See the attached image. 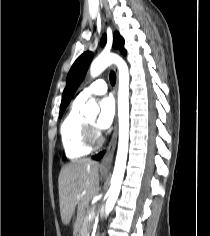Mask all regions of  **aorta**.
I'll use <instances>...</instances> for the list:
<instances>
[{
    "mask_svg": "<svg viewBox=\"0 0 210 236\" xmlns=\"http://www.w3.org/2000/svg\"><path fill=\"white\" fill-rule=\"evenodd\" d=\"M116 64L119 71V90H118V117H119V142L117 156L111 178L110 195L105 205V215L108 216L112 211L118 195L126 168L129 141V71L125 61L113 53H101L90 65L92 77L100 75L109 65ZM99 112L94 99H90L81 113L85 116H96Z\"/></svg>",
    "mask_w": 210,
    "mask_h": 236,
    "instance_id": "1",
    "label": "aorta"
}]
</instances>
